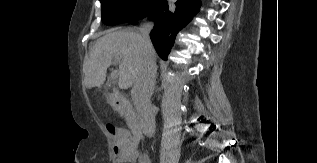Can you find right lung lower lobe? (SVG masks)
<instances>
[{"mask_svg": "<svg viewBox=\"0 0 317 163\" xmlns=\"http://www.w3.org/2000/svg\"><path fill=\"white\" fill-rule=\"evenodd\" d=\"M175 4L176 10L171 12L166 0H160L150 13V18L155 21L151 40L157 53L164 60H167L176 34L190 22L200 8L198 0H178Z\"/></svg>", "mask_w": 317, "mask_h": 163, "instance_id": "98d812e1", "label": "right lung lower lobe"}]
</instances>
